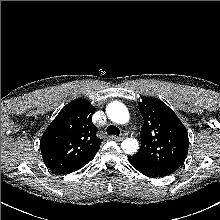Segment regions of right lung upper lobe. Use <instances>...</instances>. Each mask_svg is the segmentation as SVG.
I'll return each instance as SVG.
<instances>
[{
	"label": "right lung upper lobe",
	"instance_id": "right-lung-upper-lobe-1",
	"mask_svg": "<svg viewBox=\"0 0 220 220\" xmlns=\"http://www.w3.org/2000/svg\"><path fill=\"white\" fill-rule=\"evenodd\" d=\"M94 112L95 108L85 99L73 100L59 112L40 141L46 166L62 173L93 159L102 142L92 123Z\"/></svg>",
	"mask_w": 220,
	"mask_h": 220
}]
</instances>
